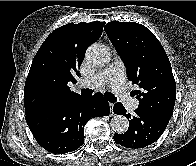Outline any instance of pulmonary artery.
Instances as JSON below:
<instances>
[{
	"mask_svg": "<svg viewBox=\"0 0 196 166\" xmlns=\"http://www.w3.org/2000/svg\"><path fill=\"white\" fill-rule=\"evenodd\" d=\"M125 66L120 59H115L106 69L79 83L81 88H96L110 83L111 89L118 95L126 107L134 110L138 106V100L127 95L125 89Z\"/></svg>",
	"mask_w": 196,
	"mask_h": 166,
	"instance_id": "pulmonary-artery-1",
	"label": "pulmonary artery"
}]
</instances>
